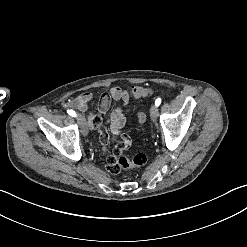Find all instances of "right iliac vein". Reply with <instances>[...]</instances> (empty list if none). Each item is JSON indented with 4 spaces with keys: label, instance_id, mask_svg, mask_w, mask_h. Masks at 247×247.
<instances>
[{
    "label": "right iliac vein",
    "instance_id": "right-iliac-vein-1",
    "mask_svg": "<svg viewBox=\"0 0 247 247\" xmlns=\"http://www.w3.org/2000/svg\"><path fill=\"white\" fill-rule=\"evenodd\" d=\"M79 124H80L82 135L83 136L88 135V132H89L88 124L85 118L81 115L79 116Z\"/></svg>",
    "mask_w": 247,
    "mask_h": 247
}]
</instances>
